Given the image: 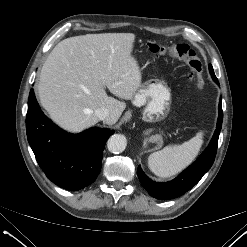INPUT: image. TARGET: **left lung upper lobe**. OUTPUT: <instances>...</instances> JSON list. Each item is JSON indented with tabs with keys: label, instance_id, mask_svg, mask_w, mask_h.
I'll return each instance as SVG.
<instances>
[{
	"label": "left lung upper lobe",
	"instance_id": "obj_1",
	"mask_svg": "<svg viewBox=\"0 0 247 247\" xmlns=\"http://www.w3.org/2000/svg\"><path fill=\"white\" fill-rule=\"evenodd\" d=\"M209 71H210V74L212 75V77H216L214 74V70H213L212 65H209Z\"/></svg>",
	"mask_w": 247,
	"mask_h": 247
}]
</instances>
